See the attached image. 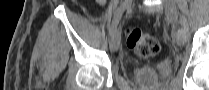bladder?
<instances>
[{
    "label": "bladder",
    "instance_id": "1",
    "mask_svg": "<svg viewBox=\"0 0 209 90\" xmlns=\"http://www.w3.org/2000/svg\"><path fill=\"white\" fill-rule=\"evenodd\" d=\"M133 76L143 90L158 86L161 80L158 69L147 65L134 68Z\"/></svg>",
    "mask_w": 209,
    "mask_h": 90
}]
</instances>
